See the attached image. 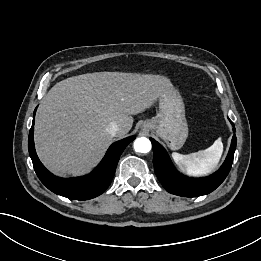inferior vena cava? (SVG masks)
I'll return each instance as SVG.
<instances>
[{
    "mask_svg": "<svg viewBox=\"0 0 261 261\" xmlns=\"http://www.w3.org/2000/svg\"><path fill=\"white\" fill-rule=\"evenodd\" d=\"M106 131L112 135V136H115L117 134V132L119 131V126L116 122H111L107 128H106Z\"/></svg>",
    "mask_w": 261,
    "mask_h": 261,
    "instance_id": "1",
    "label": "inferior vena cava"
}]
</instances>
